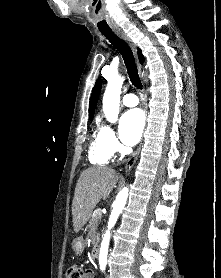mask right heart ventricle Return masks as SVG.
Segmentation results:
<instances>
[{
	"instance_id": "right-heart-ventricle-1",
	"label": "right heart ventricle",
	"mask_w": 221,
	"mask_h": 278,
	"mask_svg": "<svg viewBox=\"0 0 221 278\" xmlns=\"http://www.w3.org/2000/svg\"><path fill=\"white\" fill-rule=\"evenodd\" d=\"M111 156L112 153L105 145L100 135V131L97 132L90 144V161L96 165H105L110 161Z\"/></svg>"
}]
</instances>
